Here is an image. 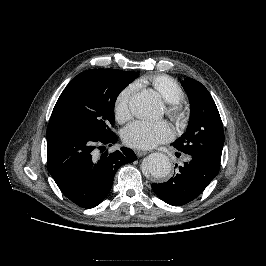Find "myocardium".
I'll use <instances>...</instances> for the list:
<instances>
[{"mask_svg": "<svg viewBox=\"0 0 266 266\" xmlns=\"http://www.w3.org/2000/svg\"><path fill=\"white\" fill-rule=\"evenodd\" d=\"M167 115L177 124L184 125L188 120V109L182 102L168 103L166 107Z\"/></svg>", "mask_w": 266, "mask_h": 266, "instance_id": "1", "label": "myocardium"}]
</instances>
